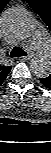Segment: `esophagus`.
Here are the masks:
<instances>
[{
    "label": "esophagus",
    "mask_w": 51,
    "mask_h": 153,
    "mask_svg": "<svg viewBox=\"0 0 51 153\" xmlns=\"http://www.w3.org/2000/svg\"><path fill=\"white\" fill-rule=\"evenodd\" d=\"M31 57H32L31 55L22 56V57H20V60H23V61L29 60Z\"/></svg>",
    "instance_id": "esophagus-1"
}]
</instances>
